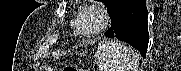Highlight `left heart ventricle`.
<instances>
[{
    "mask_svg": "<svg viewBox=\"0 0 181 71\" xmlns=\"http://www.w3.org/2000/svg\"><path fill=\"white\" fill-rule=\"evenodd\" d=\"M96 24V19L93 15H86L81 23V28L83 30H89Z\"/></svg>",
    "mask_w": 181,
    "mask_h": 71,
    "instance_id": "obj_1",
    "label": "left heart ventricle"
}]
</instances>
